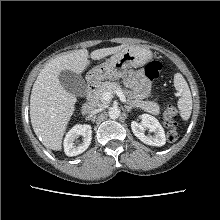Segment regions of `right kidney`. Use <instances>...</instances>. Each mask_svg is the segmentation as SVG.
<instances>
[{
  "label": "right kidney",
  "instance_id": "right-kidney-1",
  "mask_svg": "<svg viewBox=\"0 0 220 220\" xmlns=\"http://www.w3.org/2000/svg\"><path fill=\"white\" fill-rule=\"evenodd\" d=\"M83 136V142L76 146L74 141L79 136ZM92 139L91 126L87 124L75 125L67 134L64 139V151L67 156H76L83 153L90 145Z\"/></svg>",
  "mask_w": 220,
  "mask_h": 220
}]
</instances>
